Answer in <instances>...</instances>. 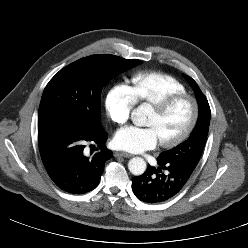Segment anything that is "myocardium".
<instances>
[{"instance_id":"f54148a6","label":"myocardium","mask_w":248,"mask_h":248,"mask_svg":"<svg viewBox=\"0 0 248 248\" xmlns=\"http://www.w3.org/2000/svg\"><path fill=\"white\" fill-rule=\"evenodd\" d=\"M184 99L189 100L192 104L191 119L184 131L177 137L166 141H160V145L164 148H172L178 146L191 135L197 125L200 115L199 102L193 95H190L188 93H175L167 95L160 99L158 102L151 105L154 112H156L158 115H162L166 113L175 103Z\"/></svg>"}]
</instances>
